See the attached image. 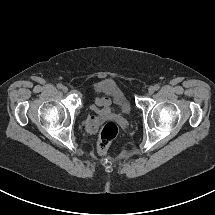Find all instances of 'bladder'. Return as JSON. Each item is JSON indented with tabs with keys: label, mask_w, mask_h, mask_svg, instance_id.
Listing matches in <instances>:
<instances>
[{
	"label": "bladder",
	"mask_w": 215,
	"mask_h": 215,
	"mask_svg": "<svg viewBox=\"0 0 215 215\" xmlns=\"http://www.w3.org/2000/svg\"><path fill=\"white\" fill-rule=\"evenodd\" d=\"M93 92L97 95H104L111 98L115 102L121 104L127 114H131L132 105L121 87L114 80L104 79L99 81L94 86Z\"/></svg>",
	"instance_id": "obj_1"
}]
</instances>
